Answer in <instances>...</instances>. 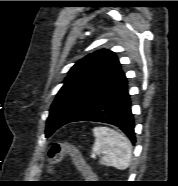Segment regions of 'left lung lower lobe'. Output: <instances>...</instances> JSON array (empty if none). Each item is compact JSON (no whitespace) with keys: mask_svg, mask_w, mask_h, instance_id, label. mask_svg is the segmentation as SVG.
Here are the masks:
<instances>
[{"mask_svg":"<svg viewBox=\"0 0 178 186\" xmlns=\"http://www.w3.org/2000/svg\"><path fill=\"white\" fill-rule=\"evenodd\" d=\"M75 121H93L112 124L121 129L134 143V117L127 84L113 94L89 107L75 117Z\"/></svg>","mask_w":178,"mask_h":186,"instance_id":"left-lung-lower-lobe-1","label":"left lung lower lobe"}]
</instances>
